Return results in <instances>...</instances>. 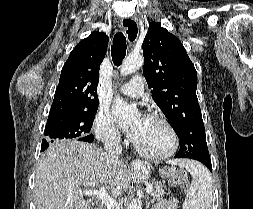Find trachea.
Instances as JSON below:
<instances>
[{"label":"trachea","mask_w":253,"mask_h":209,"mask_svg":"<svg viewBox=\"0 0 253 209\" xmlns=\"http://www.w3.org/2000/svg\"><path fill=\"white\" fill-rule=\"evenodd\" d=\"M137 26V25H136ZM128 28L131 30V27L128 25ZM126 37L123 33L118 32L113 38V45L111 46V56L114 64L120 66L122 60L126 55Z\"/></svg>","instance_id":"obj_1"}]
</instances>
